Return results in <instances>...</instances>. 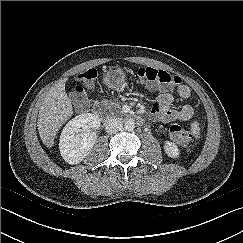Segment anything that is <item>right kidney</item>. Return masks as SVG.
Masks as SVG:
<instances>
[{"mask_svg": "<svg viewBox=\"0 0 243 243\" xmlns=\"http://www.w3.org/2000/svg\"><path fill=\"white\" fill-rule=\"evenodd\" d=\"M99 127L100 118L93 113H83L71 119L60 136L59 150L63 159L71 165L83 161L97 139L93 130Z\"/></svg>", "mask_w": 243, "mask_h": 243, "instance_id": "right-kidney-1", "label": "right kidney"}]
</instances>
